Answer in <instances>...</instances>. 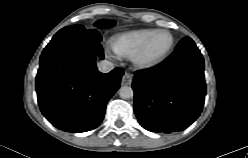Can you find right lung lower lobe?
<instances>
[{"label":"right lung lower lobe","instance_id":"right-lung-lower-lobe-1","mask_svg":"<svg viewBox=\"0 0 248 158\" xmlns=\"http://www.w3.org/2000/svg\"><path fill=\"white\" fill-rule=\"evenodd\" d=\"M96 30L58 32L40 57L36 92L41 112L56 128L85 132L102 121L106 104L120 86L121 68L103 74L104 57Z\"/></svg>","mask_w":248,"mask_h":158}]
</instances>
